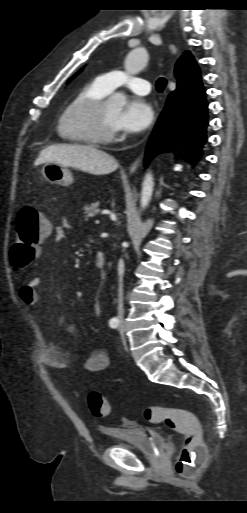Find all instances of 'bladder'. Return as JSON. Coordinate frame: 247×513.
Listing matches in <instances>:
<instances>
[{"mask_svg":"<svg viewBox=\"0 0 247 513\" xmlns=\"http://www.w3.org/2000/svg\"><path fill=\"white\" fill-rule=\"evenodd\" d=\"M112 437V447L132 448L144 455H154L164 449V439L156 431L141 427L103 428Z\"/></svg>","mask_w":247,"mask_h":513,"instance_id":"obj_1","label":"bladder"}]
</instances>
